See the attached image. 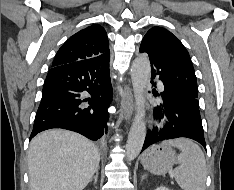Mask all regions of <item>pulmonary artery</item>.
Masks as SVG:
<instances>
[{
	"label": "pulmonary artery",
	"mask_w": 234,
	"mask_h": 190,
	"mask_svg": "<svg viewBox=\"0 0 234 190\" xmlns=\"http://www.w3.org/2000/svg\"><path fill=\"white\" fill-rule=\"evenodd\" d=\"M163 86H162V83H159V88H162Z\"/></svg>",
	"instance_id": "e3ab8cb5"
}]
</instances>
